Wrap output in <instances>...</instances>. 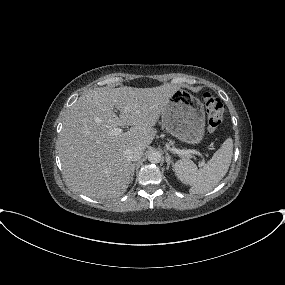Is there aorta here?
I'll return each mask as SVG.
<instances>
[{
	"label": "aorta",
	"mask_w": 285,
	"mask_h": 285,
	"mask_svg": "<svg viewBox=\"0 0 285 285\" xmlns=\"http://www.w3.org/2000/svg\"><path fill=\"white\" fill-rule=\"evenodd\" d=\"M162 159V156H161V153L159 151H151L149 154H148V160L151 162V163H159Z\"/></svg>",
	"instance_id": "aorta-1"
}]
</instances>
